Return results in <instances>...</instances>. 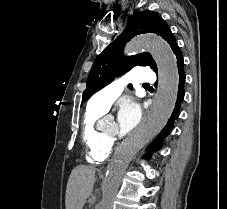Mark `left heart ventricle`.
I'll use <instances>...</instances> for the list:
<instances>
[{
  "label": "left heart ventricle",
  "instance_id": "1",
  "mask_svg": "<svg viewBox=\"0 0 227 209\" xmlns=\"http://www.w3.org/2000/svg\"><path fill=\"white\" fill-rule=\"evenodd\" d=\"M105 132L110 133V134H122L119 130L118 125L115 123V121H113L109 125L108 129Z\"/></svg>",
  "mask_w": 227,
  "mask_h": 209
}]
</instances>
